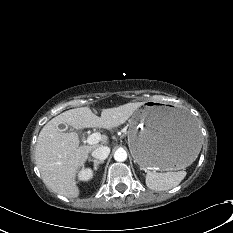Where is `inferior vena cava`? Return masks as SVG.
<instances>
[{"label": "inferior vena cava", "mask_w": 233, "mask_h": 233, "mask_svg": "<svg viewBox=\"0 0 233 233\" xmlns=\"http://www.w3.org/2000/svg\"><path fill=\"white\" fill-rule=\"evenodd\" d=\"M109 154L110 148L107 146H99L92 151V157L99 160H105Z\"/></svg>", "instance_id": "602c4592"}]
</instances>
